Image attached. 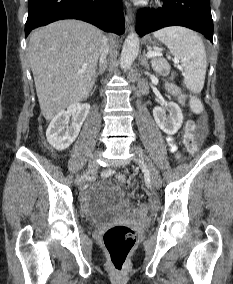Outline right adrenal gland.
Listing matches in <instances>:
<instances>
[{
	"label": "right adrenal gland",
	"mask_w": 233,
	"mask_h": 284,
	"mask_svg": "<svg viewBox=\"0 0 233 284\" xmlns=\"http://www.w3.org/2000/svg\"><path fill=\"white\" fill-rule=\"evenodd\" d=\"M106 66L104 65L103 67H100L99 70L96 73V77H98L99 75H102L103 72L105 71Z\"/></svg>",
	"instance_id": "1"
}]
</instances>
